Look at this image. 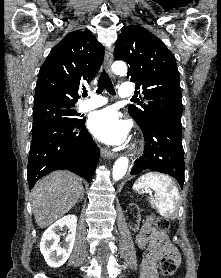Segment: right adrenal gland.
Returning <instances> with one entry per match:
<instances>
[{"instance_id":"obj_1","label":"right adrenal gland","mask_w":221,"mask_h":278,"mask_svg":"<svg viewBox=\"0 0 221 278\" xmlns=\"http://www.w3.org/2000/svg\"><path fill=\"white\" fill-rule=\"evenodd\" d=\"M83 198H84V191H83V193H82V195H81V197H80V200L82 201Z\"/></svg>"}]
</instances>
